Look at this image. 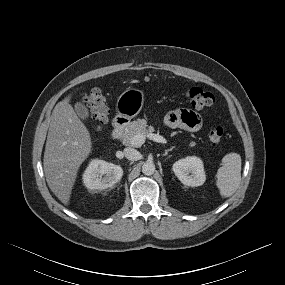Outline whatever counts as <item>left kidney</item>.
I'll return each mask as SVG.
<instances>
[{"label": "left kidney", "instance_id": "obj_1", "mask_svg": "<svg viewBox=\"0 0 285 285\" xmlns=\"http://www.w3.org/2000/svg\"><path fill=\"white\" fill-rule=\"evenodd\" d=\"M172 169L181 183L186 186H201L206 180L203 162L196 156H188L176 161Z\"/></svg>", "mask_w": 285, "mask_h": 285}]
</instances>
